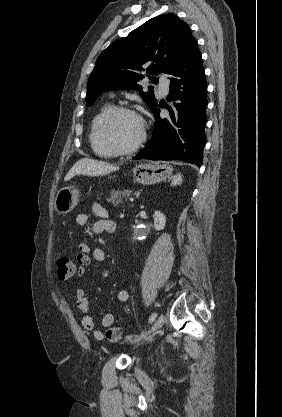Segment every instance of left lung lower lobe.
Wrapping results in <instances>:
<instances>
[{
	"label": "left lung lower lobe",
	"mask_w": 282,
	"mask_h": 417,
	"mask_svg": "<svg viewBox=\"0 0 282 417\" xmlns=\"http://www.w3.org/2000/svg\"><path fill=\"white\" fill-rule=\"evenodd\" d=\"M168 101L172 124L160 118L158 105L151 111L156 119L153 137L133 159L183 160L201 166L205 145L207 82L197 41H191L167 72ZM159 107L163 108L164 106Z\"/></svg>",
	"instance_id": "0a47b994"
}]
</instances>
